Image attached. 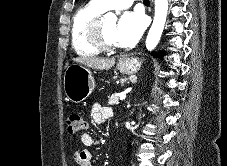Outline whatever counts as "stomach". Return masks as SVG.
Segmentation results:
<instances>
[{
  "label": "stomach",
  "mask_w": 227,
  "mask_h": 166,
  "mask_svg": "<svg viewBox=\"0 0 227 166\" xmlns=\"http://www.w3.org/2000/svg\"><path fill=\"white\" fill-rule=\"evenodd\" d=\"M141 64L137 58L126 57L119 61L117 68L121 73L131 75L140 69ZM63 84L67 99L74 103L84 101L95 88L91 71L79 64H72L66 68Z\"/></svg>",
  "instance_id": "0dacf381"
}]
</instances>
